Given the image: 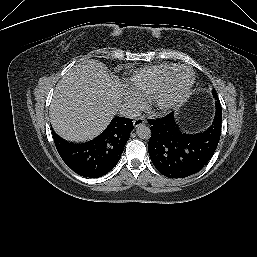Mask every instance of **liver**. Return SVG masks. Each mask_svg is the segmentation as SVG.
<instances>
[{
  "label": "liver",
  "instance_id": "1",
  "mask_svg": "<svg viewBox=\"0 0 257 257\" xmlns=\"http://www.w3.org/2000/svg\"><path fill=\"white\" fill-rule=\"evenodd\" d=\"M119 83L104 64L89 59L76 64L58 82L50 121L63 139L82 142L99 135L120 107Z\"/></svg>",
  "mask_w": 257,
  "mask_h": 257
}]
</instances>
